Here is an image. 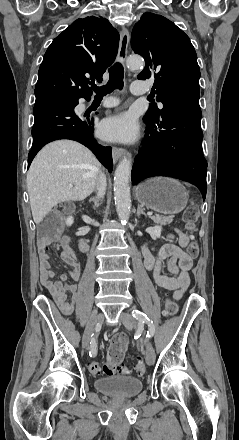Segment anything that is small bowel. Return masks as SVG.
<instances>
[{
  "instance_id": "obj_1",
  "label": "small bowel",
  "mask_w": 239,
  "mask_h": 440,
  "mask_svg": "<svg viewBox=\"0 0 239 440\" xmlns=\"http://www.w3.org/2000/svg\"><path fill=\"white\" fill-rule=\"evenodd\" d=\"M176 238L178 244L167 243L155 254L153 249L144 246L142 249L144 264L148 271L152 272L154 281L159 289L174 291V298L180 299L190 284L189 272L193 265V258L184 248L189 243V237L179 229L168 236ZM60 252L61 259L70 267L69 271L62 274L54 281L55 272L51 269L48 250ZM40 278L42 285L49 291L61 311L69 315L74 311L76 304L77 286L69 283V280H78L80 277V264L73 249L69 246L50 244L47 247L39 246ZM167 261V267L173 276L162 274V263Z\"/></svg>"
}]
</instances>
